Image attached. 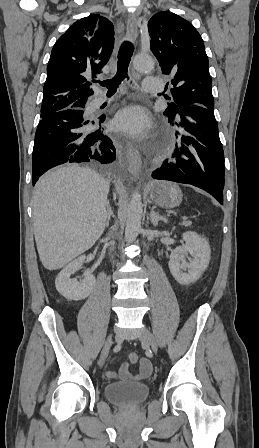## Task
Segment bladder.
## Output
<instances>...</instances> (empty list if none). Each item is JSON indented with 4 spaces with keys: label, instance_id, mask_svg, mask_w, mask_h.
I'll return each instance as SVG.
<instances>
[{
    "label": "bladder",
    "instance_id": "1",
    "mask_svg": "<svg viewBox=\"0 0 259 448\" xmlns=\"http://www.w3.org/2000/svg\"><path fill=\"white\" fill-rule=\"evenodd\" d=\"M146 383H109L104 393L109 402L121 407H134L143 403L149 395Z\"/></svg>",
    "mask_w": 259,
    "mask_h": 448
}]
</instances>
